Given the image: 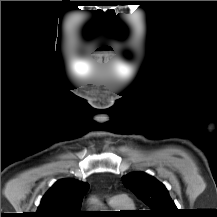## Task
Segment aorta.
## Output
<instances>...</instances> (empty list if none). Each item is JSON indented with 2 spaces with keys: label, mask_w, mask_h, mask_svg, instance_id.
I'll use <instances>...</instances> for the list:
<instances>
[{
  "label": "aorta",
  "mask_w": 217,
  "mask_h": 217,
  "mask_svg": "<svg viewBox=\"0 0 217 217\" xmlns=\"http://www.w3.org/2000/svg\"><path fill=\"white\" fill-rule=\"evenodd\" d=\"M92 201H93V202H95V203L97 202V200H96V199H92Z\"/></svg>",
  "instance_id": "762f6f07"
}]
</instances>
